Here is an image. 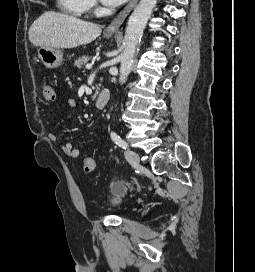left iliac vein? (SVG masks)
<instances>
[{
  "label": "left iliac vein",
  "mask_w": 255,
  "mask_h": 272,
  "mask_svg": "<svg viewBox=\"0 0 255 272\" xmlns=\"http://www.w3.org/2000/svg\"><path fill=\"white\" fill-rule=\"evenodd\" d=\"M125 158L131 165H138L140 162L139 155L132 150L125 151Z\"/></svg>",
  "instance_id": "obj_1"
}]
</instances>
